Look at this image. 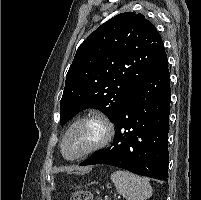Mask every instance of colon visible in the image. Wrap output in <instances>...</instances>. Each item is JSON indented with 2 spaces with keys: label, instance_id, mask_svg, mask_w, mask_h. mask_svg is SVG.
Returning <instances> with one entry per match:
<instances>
[{
  "label": "colon",
  "instance_id": "1",
  "mask_svg": "<svg viewBox=\"0 0 201 200\" xmlns=\"http://www.w3.org/2000/svg\"><path fill=\"white\" fill-rule=\"evenodd\" d=\"M70 200H97L94 195L88 191H75Z\"/></svg>",
  "mask_w": 201,
  "mask_h": 200
}]
</instances>
